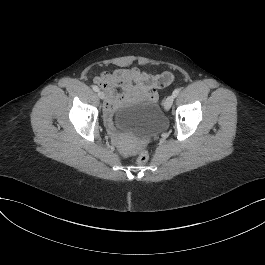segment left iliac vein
<instances>
[{"label": "left iliac vein", "instance_id": "left-iliac-vein-1", "mask_svg": "<svg viewBox=\"0 0 265 265\" xmlns=\"http://www.w3.org/2000/svg\"><path fill=\"white\" fill-rule=\"evenodd\" d=\"M174 96L173 95H170V96H168L167 98H166V100L164 101V109L166 110V111H168L170 108H171V106H172V104H173V102H174Z\"/></svg>", "mask_w": 265, "mask_h": 265}]
</instances>
